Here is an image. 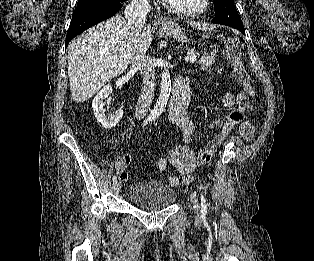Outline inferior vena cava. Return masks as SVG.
<instances>
[{
    "label": "inferior vena cava",
    "mask_w": 314,
    "mask_h": 261,
    "mask_svg": "<svg viewBox=\"0 0 314 261\" xmlns=\"http://www.w3.org/2000/svg\"><path fill=\"white\" fill-rule=\"evenodd\" d=\"M149 11L150 6L148 0H132L127 6V24L134 37L139 36L141 33ZM130 62L132 67L138 69L143 75V86L135 111L136 118L141 119L148 113L153 100L156 85L155 71L152 62L150 58L146 56L145 51L138 49L136 45L132 48Z\"/></svg>",
    "instance_id": "obj_1"
}]
</instances>
